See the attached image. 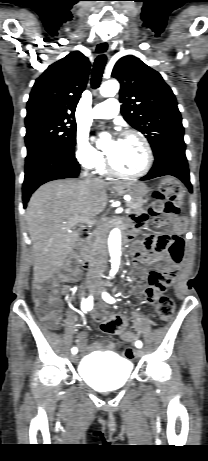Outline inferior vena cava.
I'll return each instance as SVG.
<instances>
[{
	"instance_id": "1",
	"label": "inferior vena cava",
	"mask_w": 208,
	"mask_h": 461,
	"mask_svg": "<svg viewBox=\"0 0 208 461\" xmlns=\"http://www.w3.org/2000/svg\"><path fill=\"white\" fill-rule=\"evenodd\" d=\"M107 244L106 236L102 229H98L97 233V247L95 258L91 264L89 276L92 279H100L102 273L106 268Z\"/></svg>"
}]
</instances>
